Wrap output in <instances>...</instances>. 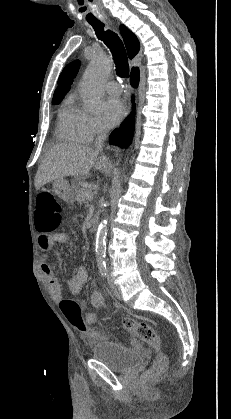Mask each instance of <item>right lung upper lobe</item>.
<instances>
[{
	"instance_id": "obj_1",
	"label": "right lung upper lobe",
	"mask_w": 231,
	"mask_h": 419,
	"mask_svg": "<svg viewBox=\"0 0 231 419\" xmlns=\"http://www.w3.org/2000/svg\"><path fill=\"white\" fill-rule=\"evenodd\" d=\"M120 31H121V36L124 40L125 46L128 51V56L130 59H132L138 54L140 50L139 41L137 37L135 36V34H133L126 26L121 25ZM79 66H80V61L76 60L64 68V70L59 76L58 87L54 92L53 99H59V98L62 99L63 95L70 89V85L79 70Z\"/></svg>"
}]
</instances>
